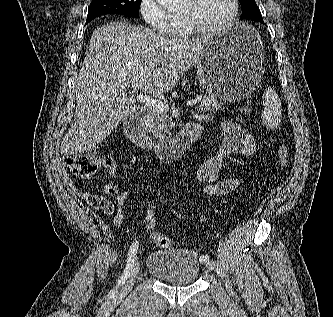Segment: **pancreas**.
Segmentation results:
<instances>
[{"label": "pancreas", "mask_w": 333, "mask_h": 317, "mask_svg": "<svg viewBox=\"0 0 333 317\" xmlns=\"http://www.w3.org/2000/svg\"><path fill=\"white\" fill-rule=\"evenodd\" d=\"M223 103L219 102L218 99L213 95H204L201 102L198 104L200 112L214 111L222 109ZM146 124L149 132L156 138H170L171 129L174 126L172 119L166 113L151 109L146 117Z\"/></svg>", "instance_id": "pancreas-1"}]
</instances>
